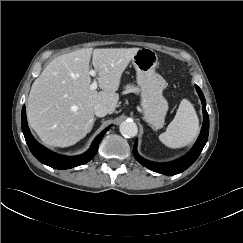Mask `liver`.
I'll use <instances>...</instances> for the list:
<instances>
[{"mask_svg":"<svg viewBox=\"0 0 243 243\" xmlns=\"http://www.w3.org/2000/svg\"><path fill=\"white\" fill-rule=\"evenodd\" d=\"M139 48H84L53 59L33 82L27 119L41 141L68 147L83 139L94 124V106L112 114L119 100L121 76ZM102 91L90 90V59Z\"/></svg>","mask_w":243,"mask_h":243,"instance_id":"liver-1","label":"liver"}]
</instances>
